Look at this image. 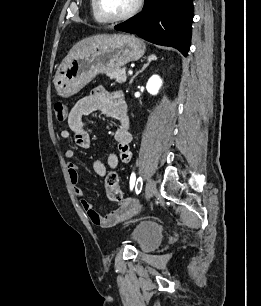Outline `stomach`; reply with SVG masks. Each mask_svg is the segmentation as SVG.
Masks as SVG:
<instances>
[{"label":"stomach","instance_id":"0dacf381","mask_svg":"<svg viewBox=\"0 0 261 306\" xmlns=\"http://www.w3.org/2000/svg\"><path fill=\"white\" fill-rule=\"evenodd\" d=\"M145 49L143 41L134 35H108L64 59L54 77L55 89L62 97L74 95L97 75L139 60Z\"/></svg>","mask_w":261,"mask_h":306}]
</instances>
